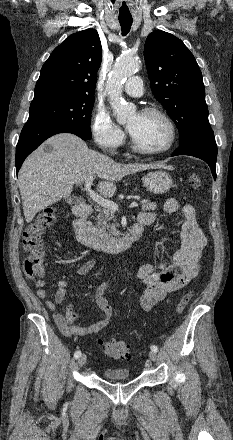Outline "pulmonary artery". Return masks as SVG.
Returning a JSON list of instances; mask_svg holds the SVG:
<instances>
[{
	"label": "pulmonary artery",
	"mask_w": 233,
	"mask_h": 440,
	"mask_svg": "<svg viewBox=\"0 0 233 440\" xmlns=\"http://www.w3.org/2000/svg\"><path fill=\"white\" fill-rule=\"evenodd\" d=\"M124 91L130 96L140 97L143 94V83L139 76L130 77L124 84Z\"/></svg>",
	"instance_id": "pulmonary-artery-1"
}]
</instances>
